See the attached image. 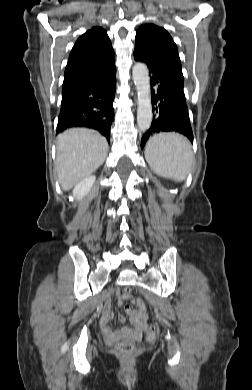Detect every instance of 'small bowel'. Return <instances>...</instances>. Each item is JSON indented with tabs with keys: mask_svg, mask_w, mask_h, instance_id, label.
I'll use <instances>...</instances> for the list:
<instances>
[{
	"mask_svg": "<svg viewBox=\"0 0 252 390\" xmlns=\"http://www.w3.org/2000/svg\"><path fill=\"white\" fill-rule=\"evenodd\" d=\"M119 302L122 303L126 296H118ZM138 309L134 310L129 306L125 307V313L129 317L132 327L123 326L119 331L111 332L113 338H119L122 336H130L135 334L136 336H141L146 330V308L142 302L137 301ZM113 312L111 307V299H107L104 308H103V327L106 332H109L108 322L112 319ZM121 322H125V317L123 315L119 316Z\"/></svg>",
	"mask_w": 252,
	"mask_h": 390,
	"instance_id": "obj_1",
	"label": "small bowel"
}]
</instances>
